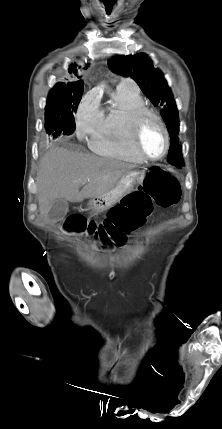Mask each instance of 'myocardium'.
Here are the masks:
<instances>
[{"instance_id":"obj_1","label":"myocardium","mask_w":222,"mask_h":429,"mask_svg":"<svg viewBox=\"0 0 222 429\" xmlns=\"http://www.w3.org/2000/svg\"><path fill=\"white\" fill-rule=\"evenodd\" d=\"M146 116H150L158 122V124L162 130V133L164 135L165 148H164L162 154L157 156V157H152V156H149L147 153H145V151L142 149L141 144H140V129H141L142 122ZM130 141H131V144H132V147L134 148V150L144 160H147V161H158V160L163 159L167 155L169 148H170V136H169V132L167 130V127H166L163 119L160 117V115L156 111H154L153 109H150L148 107H145V106L136 109L131 116V119H130Z\"/></svg>"}]
</instances>
